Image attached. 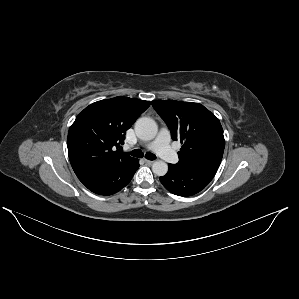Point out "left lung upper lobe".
<instances>
[{"instance_id": "1", "label": "left lung upper lobe", "mask_w": 299, "mask_h": 299, "mask_svg": "<svg viewBox=\"0 0 299 299\" xmlns=\"http://www.w3.org/2000/svg\"><path fill=\"white\" fill-rule=\"evenodd\" d=\"M153 108L165 121L173 140H180L179 166L219 167L225 140L220 121L203 105L175 100H154Z\"/></svg>"}]
</instances>
